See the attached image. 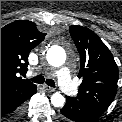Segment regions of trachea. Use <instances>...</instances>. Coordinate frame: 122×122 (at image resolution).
<instances>
[{
  "mask_svg": "<svg viewBox=\"0 0 122 122\" xmlns=\"http://www.w3.org/2000/svg\"><path fill=\"white\" fill-rule=\"evenodd\" d=\"M30 80L32 82L38 83V84H42V83L45 82L47 85H49L51 87H55V82L52 79H46L45 80L44 76H42V75L36 76L34 78H31Z\"/></svg>",
  "mask_w": 122,
  "mask_h": 122,
  "instance_id": "3493384b",
  "label": "trachea"
}]
</instances>
